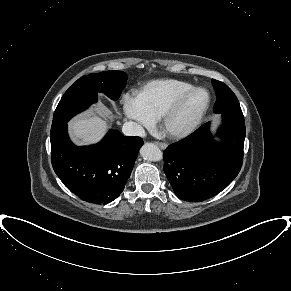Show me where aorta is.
Here are the masks:
<instances>
[{
	"label": "aorta",
	"instance_id": "obj_1",
	"mask_svg": "<svg viewBox=\"0 0 291 291\" xmlns=\"http://www.w3.org/2000/svg\"><path fill=\"white\" fill-rule=\"evenodd\" d=\"M141 156L148 161L162 160V151L153 143H145L140 149Z\"/></svg>",
	"mask_w": 291,
	"mask_h": 291
}]
</instances>
